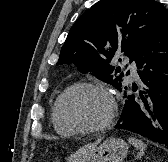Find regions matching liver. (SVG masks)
I'll use <instances>...</instances> for the list:
<instances>
[{
    "label": "liver",
    "instance_id": "1",
    "mask_svg": "<svg viewBox=\"0 0 168 162\" xmlns=\"http://www.w3.org/2000/svg\"><path fill=\"white\" fill-rule=\"evenodd\" d=\"M100 143V140L96 141L95 143H92V144H89V145H86L80 149H78V151L74 154V155H71L69 160H71L72 158L76 157L77 155L79 154H82L84 153L85 151H88L94 147H96L98 144Z\"/></svg>",
    "mask_w": 168,
    "mask_h": 162
}]
</instances>
